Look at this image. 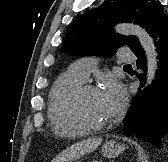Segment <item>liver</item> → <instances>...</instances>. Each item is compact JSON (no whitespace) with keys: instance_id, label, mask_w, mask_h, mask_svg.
Wrapping results in <instances>:
<instances>
[{"instance_id":"obj_1","label":"liver","mask_w":168,"mask_h":162,"mask_svg":"<svg viewBox=\"0 0 168 162\" xmlns=\"http://www.w3.org/2000/svg\"><path fill=\"white\" fill-rule=\"evenodd\" d=\"M102 143L101 138H94L81 141L63 150L52 162H71L72 160L92 152Z\"/></svg>"}]
</instances>
